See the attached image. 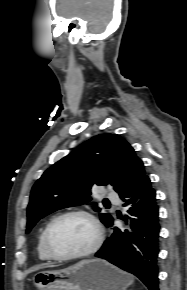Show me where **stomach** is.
<instances>
[{
	"instance_id": "1",
	"label": "stomach",
	"mask_w": 187,
	"mask_h": 290,
	"mask_svg": "<svg viewBox=\"0 0 187 290\" xmlns=\"http://www.w3.org/2000/svg\"><path fill=\"white\" fill-rule=\"evenodd\" d=\"M38 290H126L131 277L102 259H88L33 277Z\"/></svg>"
}]
</instances>
